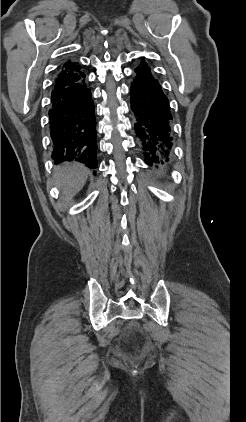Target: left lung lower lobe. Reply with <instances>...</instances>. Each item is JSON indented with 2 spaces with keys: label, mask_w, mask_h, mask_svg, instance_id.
Wrapping results in <instances>:
<instances>
[{
  "label": "left lung lower lobe",
  "mask_w": 246,
  "mask_h": 422,
  "mask_svg": "<svg viewBox=\"0 0 246 422\" xmlns=\"http://www.w3.org/2000/svg\"><path fill=\"white\" fill-rule=\"evenodd\" d=\"M131 85V109L135 116V131L149 165L160 157L168 160L172 148L169 101L150 66L141 61L135 69Z\"/></svg>",
  "instance_id": "1"
}]
</instances>
